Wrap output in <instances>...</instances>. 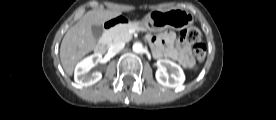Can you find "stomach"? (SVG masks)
Returning <instances> with one entry per match:
<instances>
[{"label":"stomach","instance_id":"obj_1","mask_svg":"<svg viewBox=\"0 0 276 120\" xmlns=\"http://www.w3.org/2000/svg\"><path fill=\"white\" fill-rule=\"evenodd\" d=\"M139 26L152 32H161L167 28L183 30L193 24V15L184 9L155 10L150 12Z\"/></svg>","mask_w":276,"mask_h":120}]
</instances>
